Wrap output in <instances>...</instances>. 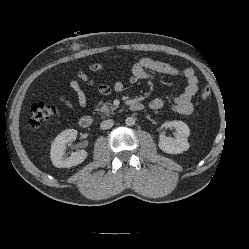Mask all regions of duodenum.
I'll return each mask as SVG.
<instances>
[{
	"instance_id": "1",
	"label": "duodenum",
	"mask_w": 249,
	"mask_h": 249,
	"mask_svg": "<svg viewBox=\"0 0 249 249\" xmlns=\"http://www.w3.org/2000/svg\"><path fill=\"white\" fill-rule=\"evenodd\" d=\"M130 110L134 112H139L144 109V105L142 103L136 102L130 105ZM92 125V118L89 115H84L79 119V126L81 128L87 129Z\"/></svg>"
}]
</instances>
